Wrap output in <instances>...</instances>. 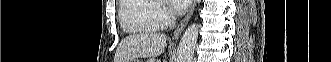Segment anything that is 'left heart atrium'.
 Wrapping results in <instances>:
<instances>
[{"mask_svg":"<svg viewBox=\"0 0 331 62\" xmlns=\"http://www.w3.org/2000/svg\"><path fill=\"white\" fill-rule=\"evenodd\" d=\"M191 0H168L171 10L175 13L184 12L190 5Z\"/></svg>","mask_w":331,"mask_h":62,"instance_id":"39dd6f15","label":"left heart atrium"}]
</instances>
